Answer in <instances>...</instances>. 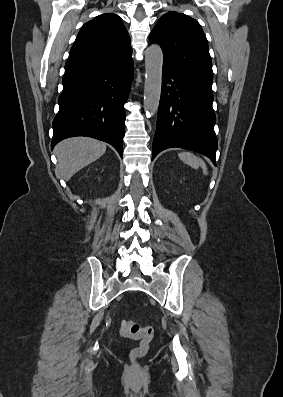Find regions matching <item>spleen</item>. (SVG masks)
Segmentation results:
<instances>
[{
    "instance_id": "1",
    "label": "spleen",
    "mask_w": 283,
    "mask_h": 397,
    "mask_svg": "<svg viewBox=\"0 0 283 397\" xmlns=\"http://www.w3.org/2000/svg\"><path fill=\"white\" fill-rule=\"evenodd\" d=\"M178 157L180 158L181 161H183L185 164L191 166L194 169H198L199 167H201L203 173L205 175L207 174V167L205 162L196 155L190 152H181L178 154Z\"/></svg>"
}]
</instances>
